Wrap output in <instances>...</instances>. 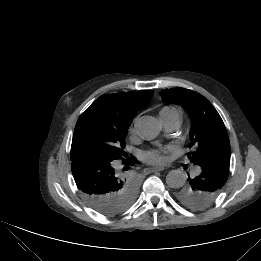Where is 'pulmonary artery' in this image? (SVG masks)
<instances>
[{
	"mask_svg": "<svg viewBox=\"0 0 261 261\" xmlns=\"http://www.w3.org/2000/svg\"><path fill=\"white\" fill-rule=\"evenodd\" d=\"M160 119L168 131H176L182 122L181 114L177 110L160 114ZM194 170L195 173L200 171L199 167H195Z\"/></svg>",
	"mask_w": 261,
	"mask_h": 261,
	"instance_id": "e3ab8cb5",
	"label": "pulmonary artery"
}]
</instances>
